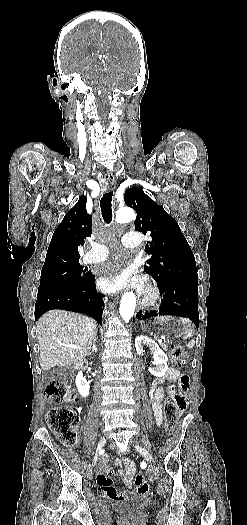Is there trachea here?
<instances>
[{"instance_id":"obj_1","label":"trachea","mask_w":247,"mask_h":525,"mask_svg":"<svg viewBox=\"0 0 247 525\" xmlns=\"http://www.w3.org/2000/svg\"><path fill=\"white\" fill-rule=\"evenodd\" d=\"M112 196H113L112 191H109L107 193H104V195L102 196L100 200V208L102 212V217L106 224H110L112 221V217H113L112 205H111Z\"/></svg>"}]
</instances>
